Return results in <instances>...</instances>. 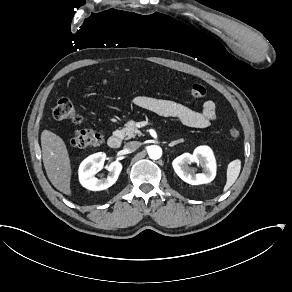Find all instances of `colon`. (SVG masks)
Wrapping results in <instances>:
<instances>
[{"label": "colon", "instance_id": "5ec220e1", "mask_svg": "<svg viewBox=\"0 0 292 292\" xmlns=\"http://www.w3.org/2000/svg\"><path fill=\"white\" fill-rule=\"evenodd\" d=\"M189 93L196 98H204L207 94L206 88L199 83H194L189 88ZM53 116L58 120H67L73 124H81L83 116L78 112L73 102L69 98H61L57 101L53 109ZM231 139H237L240 131L236 126L229 128ZM103 135L97 130H75L70 136V146L73 148H87L97 146L102 142Z\"/></svg>", "mask_w": 292, "mask_h": 292}]
</instances>
